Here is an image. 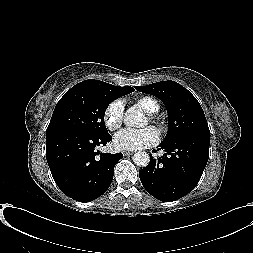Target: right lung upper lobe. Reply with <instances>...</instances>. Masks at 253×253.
I'll return each instance as SVG.
<instances>
[{"label": "right lung upper lobe", "instance_id": "cb5924a9", "mask_svg": "<svg viewBox=\"0 0 253 253\" xmlns=\"http://www.w3.org/2000/svg\"><path fill=\"white\" fill-rule=\"evenodd\" d=\"M80 83H83V84H95V85H107L108 84V83H105V82H102V81H99V80H94V79H88V80H85V81L80 82ZM127 87L134 91V88H132L130 86H127Z\"/></svg>", "mask_w": 253, "mask_h": 253}]
</instances>
